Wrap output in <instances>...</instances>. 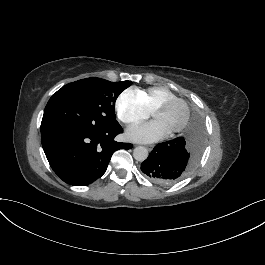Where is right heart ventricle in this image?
Returning a JSON list of instances; mask_svg holds the SVG:
<instances>
[{
    "mask_svg": "<svg viewBox=\"0 0 265 265\" xmlns=\"http://www.w3.org/2000/svg\"><path fill=\"white\" fill-rule=\"evenodd\" d=\"M137 96L144 104L146 109L151 112L153 107L161 100L174 96L167 88L161 86L151 87L146 90H135Z\"/></svg>",
    "mask_w": 265,
    "mask_h": 265,
    "instance_id": "right-heart-ventricle-1",
    "label": "right heart ventricle"
}]
</instances>
